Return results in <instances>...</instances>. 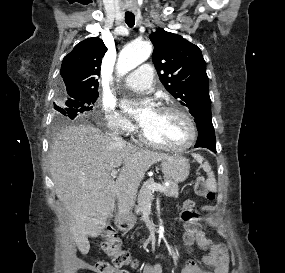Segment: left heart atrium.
<instances>
[{
    "mask_svg": "<svg viewBox=\"0 0 285 273\" xmlns=\"http://www.w3.org/2000/svg\"><path fill=\"white\" fill-rule=\"evenodd\" d=\"M123 110L134 117L139 124L145 126L155 115L156 109L151 100H143L140 102L123 101Z\"/></svg>",
    "mask_w": 285,
    "mask_h": 273,
    "instance_id": "39dd6f15",
    "label": "left heart atrium"
}]
</instances>
